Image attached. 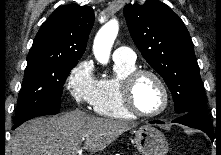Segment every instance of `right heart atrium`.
Returning <instances> with one entry per match:
<instances>
[{
	"label": "right heart atrium",
	"instance_id": "1",
	"mask_svg": "<svg viewBox=\"0 0 221 155\" xmlns=\"http://www.w3.org/2000/svg\"><path fill=\"white\" fill-rule=\"evenodd\" d=\"M65 86L73 100L81 106H93L97 79L94 65L86 59L76 64L65 79Z\"/></svg>",
	"mask_w": 221,
	"mask_h": 155
}]
</instances>
